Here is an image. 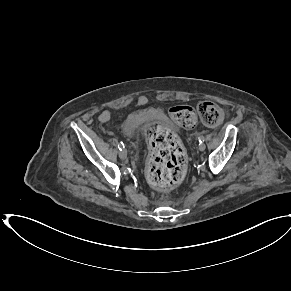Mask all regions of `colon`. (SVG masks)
Masks as SVG:
<instances>
[{
  "mask_svg": "<svg viewBox=\"0 0 291 291\" xmlns=\"http://www.w3.org/2000/svg\"><path fill=\"white\" fill-rule=\"evenodd\" d=\"M170 117L183 128H192L199 116L208 126H216L223 119V110L212 102H200L196 107L176 105L169 110ZM150 157L147 165L148 182L161 190L171 189L180 184L187 173L186 152L173 132L162 125L148 128Z\"/></svg>",
  "mask_w": 291,
  "mask_h": 291,
  "instance_id": "1",
  "label": "colon"
}]
</instances>
